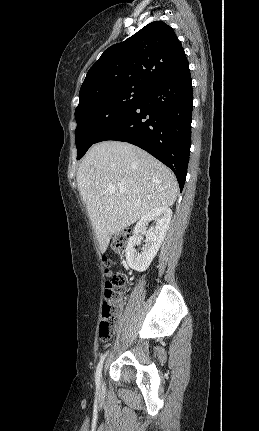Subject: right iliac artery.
<instances>
[{"label": "right iliac artery", "instance_id": "right-iliac-artery-1", "mask_svg": "<svg viewBox=\"0 0 259 431\" xmlns=\"http://www.w3.org/2000/svg\"><path fill=\"white\" fill-rule=\"evenodd\" d=\"M105 357H106V353L101 357V359L97 365V369H96V373H95V381H96L97 389L100 386L101 371H102V366H103V362H104Z\"/></svg>", "mask_w": 259, "mask_h": 431}]
</instances>
